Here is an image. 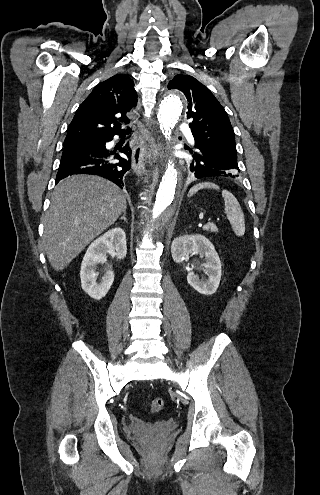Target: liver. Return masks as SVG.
<instances>
[{
	"instance_id": "1",
	"label": "liver",
	"mask_w": 320,
	"mask_h": 495,
	"mask_svg": "<svg viewBox=\"0 0 320 495\" xmlns=\"http://www.w3.org/2000/svg\"><path fill=\"white\" fill-rule=\"evenodd\" d=\"M126 210V195L115 184L72 175L56 186L44 219L43 244L56 271L63 270Z\"/></svg>"
}]
</instances>
